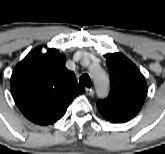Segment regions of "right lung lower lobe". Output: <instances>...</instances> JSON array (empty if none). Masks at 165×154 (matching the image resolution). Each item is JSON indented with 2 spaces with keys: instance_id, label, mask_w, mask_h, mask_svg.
Listing matches in <instances>:
<instances>
[{
  "instance_id": "1",
  "label": "right lung lower lobe",
  "mask_w": 165,
  "mask_h": 154,
  "mask_svg": "<svg viewBox=\"0 0 165 154\" xmlns=\"http://www.w3.org/2000/svg\"><path fill=\"white\" fill-rule=\"evenodd\" d=\"M70 103L64 104L56 110H53L49 113L38 116L31 121L39 125H48L59 120L66 112L67 107Z\"/></svg>"
}]
</instances>
